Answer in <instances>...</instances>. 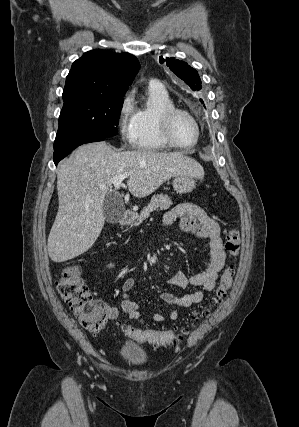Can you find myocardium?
<instances>
[{
    "label": "myocardium",
    "instance_id": "1",
    "mask_svg": "<svg viewBox=\"0 0 299 427\" xmlns=\"http://www.w3.org/2000/svg\"><path fill=\"white\" fill-rule=\"evenodd\" d=\"M177 114H184L192 119V121L195 124L196 127V138L193 143L189 145H182L175 142V140L172 137L170 126H171V120L172 118ZM159 121V130L161 133L162 138L164 141L170 146L178 149H189L197 145L198 141L200 140L201 136V126L197 118L188 110L172 106L163 109L158 116Z\"/></svg>",
    "mask_w": 299,
    "mask_h": 427
}]
</instances>
